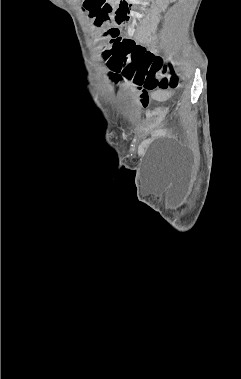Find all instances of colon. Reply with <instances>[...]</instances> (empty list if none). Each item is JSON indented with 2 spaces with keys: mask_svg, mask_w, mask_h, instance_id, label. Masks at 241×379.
Here are the masks:
<instances>
[{
  "mask_svg": "<svg viewBox=\"0 0 241 379\" xmlns=\"http://www.w3.org/2000/svg\"><path fill=\"white\" fill-rule=\"evenodd\" d=\"M83 8L96 24L111 19V9L106 0H84ZM102 37L109 43L103 56L112 70H101L100 76H108L109 82H125L131 84L129 86L133 89L136 88V83H131V79H125V76L134 78L139 84L147 83L148 86L156 87L176 85L179 82L177 76H170V67L160 57L154 56L132 40H118L115 28L104 31Z\"/></svg>",
  "mask_w": 241,
  "mask_h": 379,
  "instance_id": "colon-1",
  "label": "colon"
}]
</instances>
